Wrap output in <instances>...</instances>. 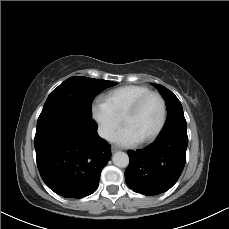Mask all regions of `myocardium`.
<instances>
[{
    "label": "myocardium",
    "instance_id": "f54148a6",
    "mask_svg": "<svg viewBox=\"0 0 229 229\" xmlns=\"http://www.w3.org/2000/svg\"><path fill=\"white\" fill-rule=\"evenodd\" d=\"M157 97L161 103V107H162V116H161V121L159 126L157 127V129L148 137L141 139L137 144L133 145V146H137V145H141V144H146V143H150L153 140H155L163 131L165 125H166V121H167V104L166 101L164 99V97L156 92V91H149L145 94H143L142 96H140L139 98H137L126 110L123 118H122V126L124 127L125 124L128 122V120L139 110V108L141 107V105L143 104V102L151 97Z\"/></svg>",
    "mask_w": 229,
    "mask_h": 229
}]
</instances>
